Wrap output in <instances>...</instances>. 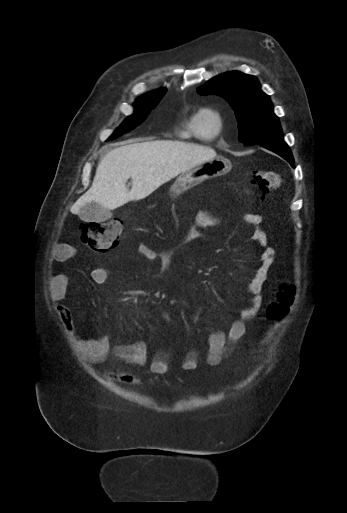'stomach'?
Instances as JSON below:
<instances>
[{
	"mask_svg": "<svg viewBox=\"0 0 347 513\" xmlns=\"http://www.w3.org/2000/svg\"><path fill=\"white\" fill-rule=\"evenodd\" d=\"M231 167L228 159L217 156L182 172L175 181L174 190L179 192L192 188L204 180L227 173Z\"/></svg>",
	"mask_w": 347,
	"mask_h": 513,
	"instance_id": "1",
	"label": "stomach"
}]
</instances>
